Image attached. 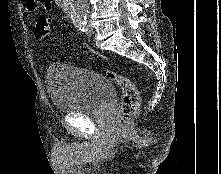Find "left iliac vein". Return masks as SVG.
Wrapping results in <instances>:
<instances>
[{"mask_svg": "<svg viewBox=\"0 0 221 174\" xmlns=\"http://www.w3.org/2000/svg\"><path fill=\"white\" fill-rule=\"evenodd\" d=\"M84 30H85V33L89 36L93 34V28L89 23H86Z\"/></svg>", "mask_w": 221, "mask_h": 174, "instance_id": "left-iliac-vein-1", "label": "left iliac vein"}]
</instances>
